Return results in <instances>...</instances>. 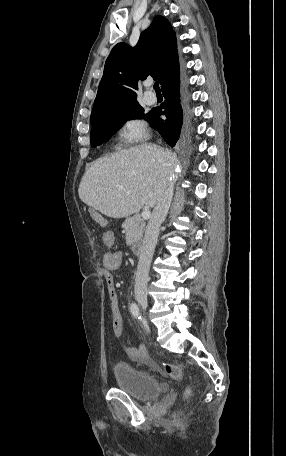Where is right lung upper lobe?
Masks as SVG:
<instances>
[{"instance_id":"1","label":"right lung upper lobe","mask_w":286,"mask_h":456,"mask_svg":"<svg viewBox=\"0 0 286 456\" xmlns=\"http://www.w3.org/2000/svg\"><path fill=\"white\" fill-rule=\"evenodd\" d=\"M160 81L161 89L180 76L175 32L169 21L156 16L134 48L115 45L109 54L91 113V121L118 107L138 103V79Z\"/></svg>"}]
</instances>
